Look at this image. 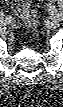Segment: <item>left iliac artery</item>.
Masks as SVG:
<instances>
[{
	"label": "left iliac artery",
	"instance_id": "44dca946",
	"mask_svg": "<svg viewBox=\"0 0 63 107\" xmlns=\"http://www.w3.org/2000/svg\"><path fill=\"white\" fill-rule=\"evenodd\" d=\"M48 6L50 9H52V10L54 9V5L52 3H49Z\"/></svg>",
	"mask_w": 63,
	"mask_h": 107
}]
</instances>
